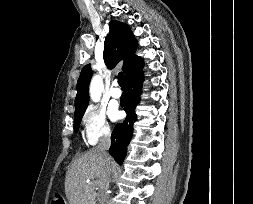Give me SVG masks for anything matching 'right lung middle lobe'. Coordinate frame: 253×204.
Returning a JSON list of instances; mask_svg holds the SVG:
<instances>
[{"label":"right lung middle lobe","instance_id":"1","mask_svg":"<svg viewBox=\"0 0 253 204\" xmlns=\"http://www.w3.org/2000/svg\"><path fill=\"white\" fill-rule=\"evenodd\" d=\"M84 112H85V110L80 112L78 115L74 116V130H75V132H77L79 129V125H80V122H81Z\"/></svg>","mask_w":253,"mask_h":204}]
</instances>
